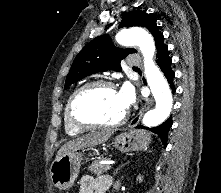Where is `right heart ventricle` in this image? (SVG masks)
Wrapping results in <instances>:
<instances>
[{
  "label": "right heart ventricle",
  "mask_w": 221,
  "mask_h": 193,
  "mask_svg": "<svg viewBox=\"0 0 221 193\" xmlns=\"http://www.w3.org/2000/svg\"><path fill=\"white\" fill-rule=\"evenodd\" d=\"M69 102V101H68ZM68 102L65 106L64 109V127H65V132L69 136H77L79 134H82L86 129L78 127L75 125L72 120L70 119L69 112H68Z\"/></svg>",
  "instance_id": "right-heart-ventricle-1"
}]
</instances>
